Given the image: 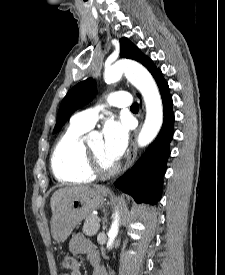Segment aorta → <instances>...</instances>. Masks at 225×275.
<instances>
[{"label": "aorta", "mask_w": 225, "mask_h": 275, "mask_svg": "<svg viewBox=\"0 0 225 275\" xmlns=\"http://www.w3.org/2000/svg\"><path fill=\"white\" fill-rule=\"evenodd\" d=\"M123 74L140 91L145 101L146 118L137 140L138 145L144 147L155 139L162 127L163 106L161 96L151 74L136 62L120 61L107 68L104 73L105 82H117ZM118 229L119 215L116 212L109 230L108 248L112 246L118 234Z\"/></svg>", "instance_id": "762f6f07"}]
</instances>
